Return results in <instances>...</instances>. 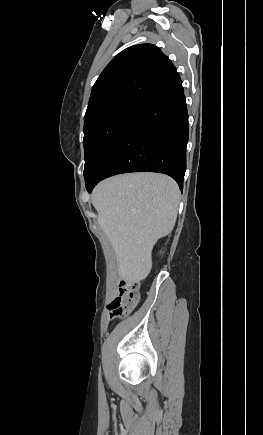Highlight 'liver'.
Returning a JSON list of instances; mask_svg holds the SVG:
<instances>
[{
    "label": "liver",
    "mask_w": 263,
    "mask_h": 435,
    "mask_svg": "<svg viewBox=\"0 0 263 435\" xmlns=\"http://www.w3.org/2000/svg\"><path fill=\"white\" fill-rule=\"evenodd\" d=\"M180 190L169 176L133 173L99 183L92 193L98 223L111 242L120 278L139 283L152 268V249L175 226Z\"/></svg>",
    "instance_id": "6515ba94"
}]
</instances>
